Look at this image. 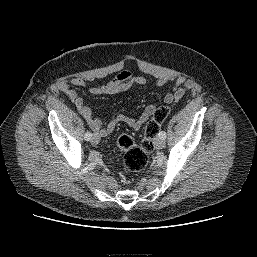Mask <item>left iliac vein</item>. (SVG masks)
<instances>
[{
	"label": "left iliac vein",
	"mask_w": 257,
	"mask_h": 257,
	"mask_svg": "<svg viewBox=\"0 0 257 257\" xmlns=\"http://www.w3.org/2000/svg\"><path fill=\"white\" fill-rule=\"evenodd\" d=\"M165 145H166V141H165L164 139H162V138L159 137V138H157V139L155 140V146H156L158 149L164 148Z\"/></svg>",
	"instance_id": "1"
}]
</instances>
